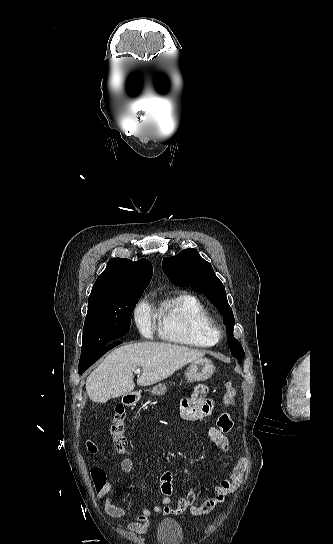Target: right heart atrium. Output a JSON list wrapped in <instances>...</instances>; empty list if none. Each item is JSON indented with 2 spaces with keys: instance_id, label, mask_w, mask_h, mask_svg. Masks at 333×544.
<instances>
[{
  "instance_id": "obj_1",
  "label": "right heart atrium",
  "mask_w": 333,
  "mask_h": 544,
  "mask_svg": "<svg viewBox=\"0 0 333 544\" xmlns=\"http://www.w3.org/2000/svg\"><path fill=\"white\" fill-rule=\"evenodd\" d=\"M135 321L138 329L144 336H151L155 329V320L147 303L142 302L137 306L135 311Z\"/></svg>"
}]
</instances>
